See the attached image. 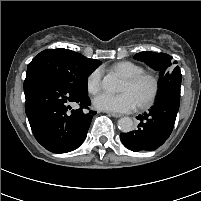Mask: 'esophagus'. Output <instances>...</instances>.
Listing matches in <instances>:
<instances>
[{"mask_svg": "<svg viewBox=\"0 0 201 201\" xmlns=\"http://www.w3.org/2000/svg\"><path fill=\"white\" fill-rule=\"evenodd\" d=\"M107 114H108L109 116H112V117H115V118L121 117V115H120V114H117V113L108 112Z\"/></svg>", "mask_w": 201, "mask_h": 201, "instance_id": "34e87169", "label": "esophagus"}]
</instances>
